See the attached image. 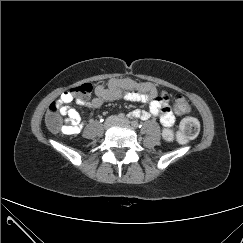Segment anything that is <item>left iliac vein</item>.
<instances>
[{
    "mask_svg": "<svg viewBox=\"0 0 243 243\" xmlns=\"http://www.w3.org/2000/svg\"><path fill=\"white\" fill-rule=\"evenodd\" d=\"M117 123L125 124V125H130L131 122L128 119H119L117 120Z\"/></svg>",
    "mask_w": 243,
    "mask_h": 243,
    "instance_id": "1",
    "label": "left iliac vein"
}]
</instances>
